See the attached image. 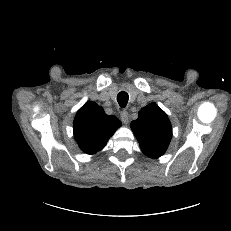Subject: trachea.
Listing matches in <instances>:
<instances>
[{
	"mask_svg": "<svg viewBox=\"0 0 231 231\" xmlns=\"http://www.w3.org/2000/svg\"><path fill=\"white\" fill-rule=\"evenodd\" d=\"M129 96L125 91H121L117 95V102L121 108H125L128 103Z\"/></svg>",
	"mask_w": 231,
	"mask_h": 231,
	"instance_id": "1",
	"label": "trachea"
}]
</instances>
